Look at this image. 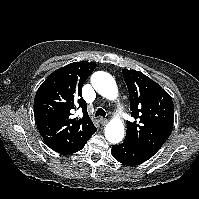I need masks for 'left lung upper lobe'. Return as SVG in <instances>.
I'll use <instances>...</instances> for the list:
<instances>
[{
	"label": "left lung upper lobe",
	"mask_w": 199,
	"mask_h": 199,
	"mask_svg": "<svg viewBox=\"0 0 199 199\" xmlns=\"http://www.w3.org/2000/svg\"><path fill=\"white\" fill-rule=\"evenodd\" d=\"M130 96L131 116L125 140L155 154L173 128L174 105L170 95L156 82L135 70H122Z\"/></svg>",
	"instance_id": "5c2ea615"
}]
</instances>
